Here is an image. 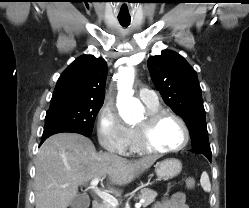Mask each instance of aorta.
<instances>
[{
	"label": "aorta",
	"mask_w": 249,
	"mask_h": 208,
	"mask_svg": "<svg viewBox=\"0 0 249 208\" xmlns=\"http://www.w3.org/2000/svg\"><path fill=\"white\" fill-rule=\"evenodd\" d=\"M119 74L117 107L121 118L127 123H132L135 119L142 117L143 105L133 97V69L131 67L120 69Z\"/></svg>",
	"instance_id": "obj_1"
}]
</instances>
